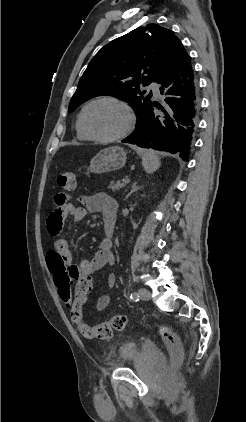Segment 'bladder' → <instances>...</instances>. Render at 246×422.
<instances>
[{
	"instance_id": "31cf9c89",
	"label": "bladder",
	"mask_w": 246,
	"mask_h": 422,
	"mask_svg": "<svg viewBox=\"0 0 246 422\" xmlns=\"http://www.w3.org/2000/svg\"><path fill=\"white\" fill-rule=\"evenodd\" d=\"M140 349L134 342H126L117 349L116 363L117 365L134 364L140 357ZM149 360L155 369H162L166 365V357L160 350H151Z\"/></svg>"
}]
</instances>
